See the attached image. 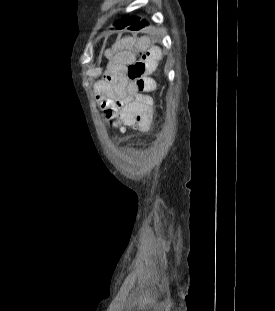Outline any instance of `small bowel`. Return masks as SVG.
<instances>
[{"label": "small bowel", "instance_id": "small-bowel-1", "mask_svg": "<svg viewBox=\"0 0 275 311\" xmlns=\"http://www.w3.org/2000/svg\"><path fill=\"white\" fill-rule=\"evenodd\" d=\"M105 56L109 59L107 73L96 86L97 99L105 115L107 118H124L125 127H135V133H150L153 100L138 91L127 70L136 57H155L156 63L165 62L164 50L152 46L148 37L140 41L125 38L116 43L112 50H107Z\"/></svg>", "mask_w": 275, "mask_h": 311}]
</instances>
